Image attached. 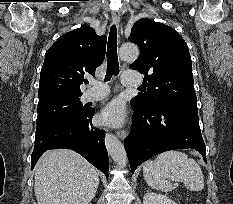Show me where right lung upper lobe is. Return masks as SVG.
Instances as JSON below:
<instances>
[{
    "label": "right lung upper lobe",
    "instance_id": "1",
    "mask_svg": "<svg viewBox=\"0 0 233 204\" xmlns=\"http://www.w3.org/2000/svg\"><path fill=\"white\" fill-rule=\"evenodd\" d=\"M106 36L89 26L62 35L46 52L39 81V102L60 96L82 95L85 74L95 75L103 62Z\"/></svg>",
    "mask_w": 233,
    "mask_h": 204
}]
</instances>
